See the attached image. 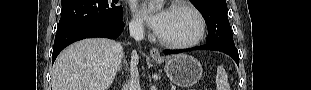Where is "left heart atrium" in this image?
Wrapping results in <instances>:
<instances>
[{"label": "left heart atrium", "mask_w": 311, "mask_h": 90, "mask_svg": "<svg viewBox=\"0 0 311 90\" xmlns=\"http://www.w3.org/2000/svg\"><path fill=\"white\" fill-rule=\"evenodd\" d=\"M142 15L148 22L149 26L159 34L166 23L168 17V11L163 10L159 12H153L147 5H143L141 8Z\"/></svg>", "instance_id": "obj_1"}]
</instances>
